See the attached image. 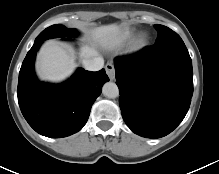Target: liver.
I'll return each instance as SVG.
<instances>
[{
    "label": "liver",
    "mask_w": 219,
    "mask_h": 174,
    "mask_svg": "<svg viewBox=\"0 0 219 174\" xmlns=\"http://www.w3.org/2000/svg\"><path fill=\"white\" fill-rule=\"evenodd\" d=\"M118 33L119 27L111 24L95 28L92 31V36L96 42L105 45ZM97 55L98 51L93 46H85L80 52L83 59L95 58ZM36 67L39 76L43 80L58 82L71 75L76 64L70 49L59 45L55 41H48L40 49Z\"/></svg>",
    "instance_id": "obj_1"
}]
</instances>
